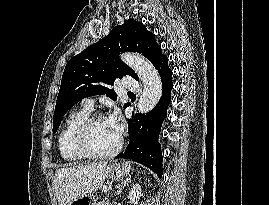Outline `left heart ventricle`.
Returning a JSON list of instances; mask_svg holds the SVG:
<instances>
[{
    "mask_svg": "<svg viewBox=\"0 0 269 205\" xmlns=\"http://www.w3.org/2000/svg\"><path fill=\"white\" fill-rule=\"evenodd\" d=\"M118 139L119 136L111 129L106 119L93 125L89 134L90 147L97 153H106L112 150Z\"/></svg>",
    "mask_w": 269,
    "mask_h": 205,
    "instance_id": "left-heart-ventricle-1",
    "label": "left heart ventricle"
}]
</instances>
